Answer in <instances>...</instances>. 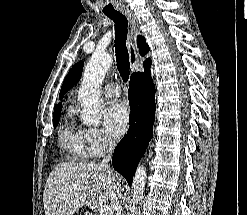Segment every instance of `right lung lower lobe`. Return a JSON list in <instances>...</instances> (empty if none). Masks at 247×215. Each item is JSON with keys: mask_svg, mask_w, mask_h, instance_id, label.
<instances>
[{"mask_svg": "<svg viewBox=\"0 0 247 215\" xmlns=\"http://www.w3.org/2000/svg\"><path fill=\"white\" fill-rule=\"evenodd\" d=\"M151 62L145 72L131 75L128 91L130 115L127 135L118 143L112 158L114 169L125 177L129 186L140 158L152 138L155 119V86L150 75Z\"/></svg>", "mask_w": 247, "mask_h": 215, "instance_id": "right-lung-lower-lobe-1", "label": "right lung lower lobe"}]
</instances>
